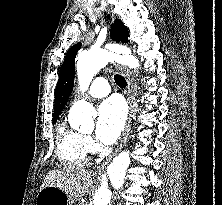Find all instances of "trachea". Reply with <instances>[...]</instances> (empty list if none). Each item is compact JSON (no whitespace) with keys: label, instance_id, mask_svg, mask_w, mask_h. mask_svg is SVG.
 Segmentation results:
<instances>
[{"label":"trachea","instance_id":"3493384b","mask_svg":"<svg viewBox=\"0 0 222 205\" xmlns=\"http://www.w3.org/2000/svg\"><path fill=\"white\" fill-rule=\"evenodd\" d=\"M114 80H115L116 84H117L119 87H121V88H124V87H126V85H127V82H126L125 78L122 77V76L119 75V74H116V75L114 76Z\"/></svg>","mask_w":222,"mask_h":205}]
</instances>
